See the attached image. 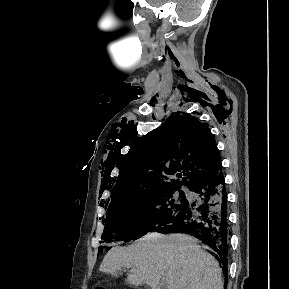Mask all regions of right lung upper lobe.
I'll use <instances>...</instances> for the list:
<instances>
[{
	"label": "right lung upper lobe",
	"mask_w": 289,
	"mask_h": 289,
	"mask_svg": "<svg viewBox=\"0 0 289 289\" xmlns=\"http://www.w3.org/2000/svg\"><path fill=\"white\" fill-rule=\"evenodd\" d=\"M111 194L113 205L132 196L187 185L216 175L222 165L208 127L186 113L172 116L130 149ZM179 179L171 178L177 171ZM109 205V206H110Z\"/></svg>",
	"instance_id": "1"
}]
</instances>
